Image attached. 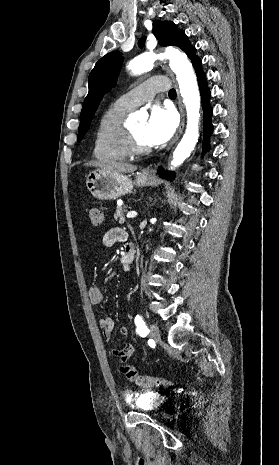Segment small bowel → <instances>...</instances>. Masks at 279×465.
I'll use <instances>...</instances> for the list:
<instances>
[{
	"label": "small bowel",
	"instance_id": "1",
	"mask_svg": "<svg viewBox=\"0 0 279 465\" xmlns=\"http://www.w3.org/2000/svg\"><path fill=\"white\" fill-rule=\"evenodd\" d=\"M127 235L125 231L120 228H110L106 230L103 234V243L107 247L113 246L117 242L126 241ZM124 270H128L130 265H123ZM89 300L92 304H100L103 300V293L99 286H92L88 290ZM99 326L103 331V337L106 341H110L112 337V332L115 328V322L111 317H102L99 320ZM129 330L126 326H122L120 328V334L123 336H127ZM113 355L119 357L120 364H124L127 362L134 354H135V347L132 343H127L122 348H116L112 351Z\"/></svg>",
	"mask_w": 279,
	"mask_h": 465
}]
</instances>
